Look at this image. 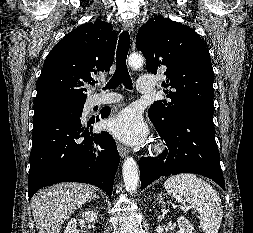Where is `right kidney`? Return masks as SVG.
<instances>
[{
    "label": "right kidney",
    "instance_id": "obj_1",
    "mask_svg": "<svg viewBox=\"0 0 253 233\" xmlns=\"http://www.w3.org/2000/svg\"><path fill=\"white\" fill-rule=\"evenodd\" d=\"M82 218L90 223H93L97 220V214L93 210H87L82 213ZM76 227H77V220L71 219L68 222L64 233H76Z\"/></svg>",
    "mask_w": 253,
    "mask_h": 233
}]
</instances>
